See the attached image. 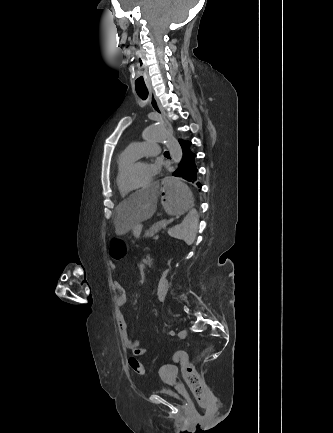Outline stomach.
Wrapping results in <instances>:
<instances>
[{
  "instance_id": "obj_1",
  "label": "stomach",
  "mask_w": 333,
  "mask_h": 433,
  "mask_svg": "<svg viewBox=\"0 0 333 433\" xmlns=\"http://www.w3.org/2000/svg\"><path fill=\"white\" fill-rule=\"evenodd\" d=\"M160 196L163 197L164 214L170 220H179L181 215H188L193 210V193L188 183H183L182 176H163ZM141 225L132 229L139 237Z\"/></svg>"
}]
</instances>
